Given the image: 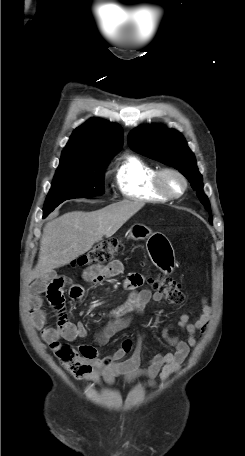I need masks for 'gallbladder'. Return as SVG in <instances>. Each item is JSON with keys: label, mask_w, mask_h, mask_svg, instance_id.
<instances>
[{"label": "gallbladder", "mask_w": 245, "mask_h": 456, "mask_svg": "<svg viewBox=\"0 0 245 456\" xmlns=\"http://www.w3.org/2000/svg\"><path fill=\"white\" fill-rule=\"evenodd\" d=\"M56 276H57V275H56L55 272H50L49 275H48V277H47L46 279H40L39 281H40V283H41L42 285L47 286V284H48L51 280L55 279Z\"/></svg>", "instance_id": "bac80fb5"}]
</instances>
